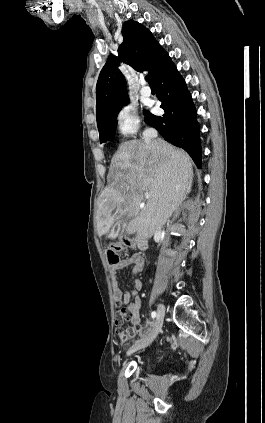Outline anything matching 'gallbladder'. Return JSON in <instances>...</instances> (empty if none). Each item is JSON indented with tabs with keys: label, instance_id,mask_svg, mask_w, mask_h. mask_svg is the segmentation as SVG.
Masks as SVG:
<instances>
[{
	"label": "gallbladder",
	"instance_id": "1",
	"mask_svg": "<svg viewBox=\"0 0 265 423\" xmlns=\"http://www.w3.org/2000/svg\"><path fill=\"white\" fill-rule=\"evenodd\" d=\"M122 226L123 225L121 221L117 222L116 225L113 226L108 238L115 239L118 236V232L120 231Z\"/></svg>",
	"mask_w": 265,
	"mask_h": 423
}]
</instances>
